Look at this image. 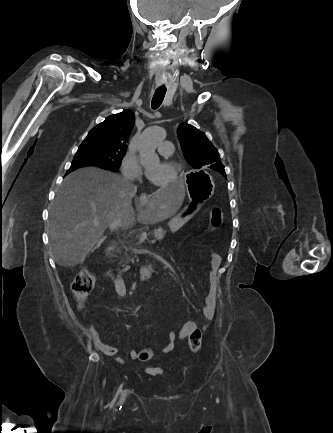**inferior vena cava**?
<instances>
[{
    "mask_svg": "<svg viewBox=\"0 0 333 433\" xmlns=\"http://www.w3.org/2000/svg\"><path fill=\"white\" fill-rule=\"evenodd\" d=\"M134 188H136V186H134ZM120 222H121L120 217H114L109 225L111 231L118 229V227L120 226Z\"/></svg>",
    "mask_w": 333,
    "mask_h": 433,
    "instance_id": "inferior-vena-cava-1",
    "label": "inferior vena cava"
}]
</instances>
